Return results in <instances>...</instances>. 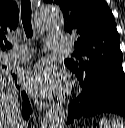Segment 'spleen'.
Wrapping results in <instances>:
<instances>
[{
  "mask_svg": "<svg viewBox=\"0 0 125 128\" xmlns=\"http://www.w3.org/2000/svg\"><path fill=\"white\" fill-rule=\"evenodd\" d=\"M99 126L100 128H125V119L112 118L108 120L106 117H102Z\"/></svg>",
  "mask_w": 125,
  "mask_h": 128,
  "instance_id": "1",
  "label": "spleen"
}]
</instances>
